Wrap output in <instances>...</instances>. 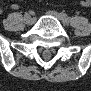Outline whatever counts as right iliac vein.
Instances as JSON below:
<instances>
[{"label": "right iliac vein", "instance_id": "obj_1", "mask_svg": "<svg viewBox=\"0 0 91 91\" xmlns=\"http://www.w3.org/2000/svg\"><path fill=\"white\" fill-rule=\"evenodd\" d=\"M24 20L27 25H33L35 22V19L31 17L30 15L25 16Z\"/></svg>", "mask_w": 91, "mask_h": 91}]
</instances>
